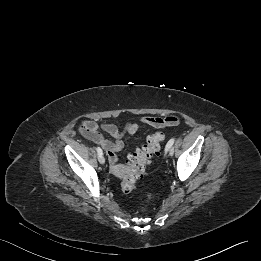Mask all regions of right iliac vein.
<instances>
[{"mask_svg": "<svg viewBox=\"0 0 261 261\" xmlns=\"http://www.w3.org/2000/svg\"><path fill=\"white\" fill-rule=\"evenodd\" d=\"M98 160L101 164L105 163V158L103 157V155L98 156Z\"/></svg>", "mask_w": 261, "mask_h": 261, "instance_id": "obj_1", "label": "right iliac vein"}]
</instances>
